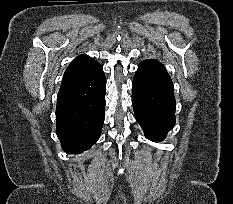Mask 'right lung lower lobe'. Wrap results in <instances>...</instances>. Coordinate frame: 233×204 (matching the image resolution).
Returning <instances> with one entry per match:
<instances>
[{"mask_svg":"<svg viewBox=\"0 0 233 204\" xmlns=\"http://www.w3.org/2000/svg\"><path fill=\"white\" fill-rule=\"evenodd\" d=\"M105 87L100 65L84 77L61 84L56 133L67 153H81L99 139L105 118Z\"/></svg>","mask_w":233,"mask_h":204,"instance_id":"98d812e1","label":"right lung lower lobe"}]
</instances>
